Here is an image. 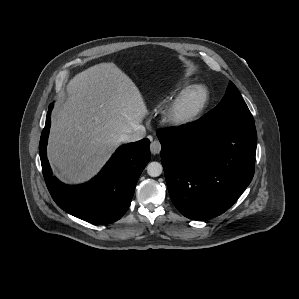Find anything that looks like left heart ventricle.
<instances>
[{
	"label": "left heart ventricle",
	"mask_w": 299,
	"mask_h": 299,
	"mask_svg": "<svg viewBox=\"0 0 299 299\" xmlns=\"http://www.w3.org/2000/svg\"><path fill=\"white\" fill-rule=\"evenodd\" d=\"M200 100H201V94L196 93L188 99L186 107L193 108L194 106H196L199 103Z\"/></svg>",
	"instance_id": "left-heart-ventricle-1"
}]
</instances>
